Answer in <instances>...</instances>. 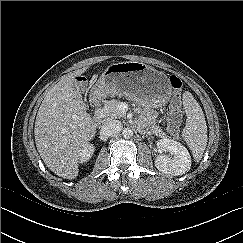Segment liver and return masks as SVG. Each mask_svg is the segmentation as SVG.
Masks as SVG:
<instances>
[{
	"mask_svg": "<svg viewBox=\"0 0 243 243\" xmlns=\"http://www.w3.org/2000/svg\"><path fill=\"white\" fill-rule=\"evenodd\" d=\"M86 69L63 76L50 88L36 116L34 134L40 157L64 179L78 176L79 154L96 133V125L73 84Z\"/></svg>",
	"mask_w": 243,
	"mask_h": 243,
	"instance_id": "1",
	"label": "liver"
}]
</instances>
